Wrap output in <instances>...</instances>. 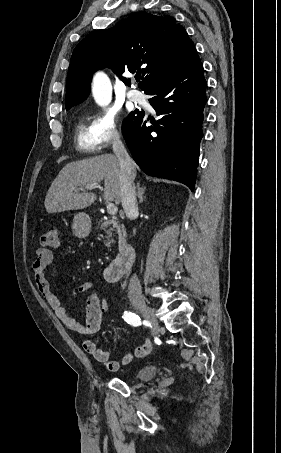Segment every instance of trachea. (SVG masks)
Returning <instances> with one entry per match:
<instances>
[{"label":"trachea","mask_w":281,"mask_h":453,"mask_svg":"<svg viewBox=\"0 0 281 453\" xmlns=\"http://www.w3.org/2000/svg\"><path fill=\"white\" fill-rule=\"evenodd\" d=\"M140 80V77H136V81L138 82Z\"/></svg>","instance_id":"obj_1"}]
</instances>
